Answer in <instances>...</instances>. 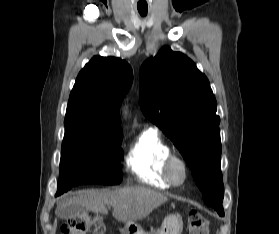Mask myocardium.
Returning a JSON list of instances; mask_svg holds the SVG:
<instances>
[{
	"label": "myocardium",
	"mask_w": 279,
	"mask_h": 234,
	"mask_svg": "<svg viewBox=\"0 0 279 234\" xmlns=\"http://www.w3.org/2000/svg\"><path fill=\"white\" fill-rule=\"evenodd\" d=\"M176 167H179L182 171V176L180 178L175 176L174 170ZM188 173V165L181 156L171 153L166 157L164 161V175L171 185H182L186 181Z\"/></svg>",
	"instance_id": "obj_1"
}]
</instances>
